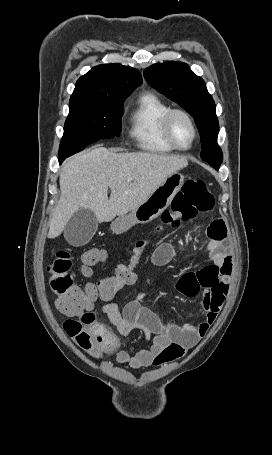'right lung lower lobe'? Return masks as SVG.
I'll return each instance as SVG.
<instances>
[{
    "label": "right lung lower lobe",
    "mask_w": 272,
    "mask_h": 455,
    "mask_svg": "<svg viewBox=\"0 0 272 455\" xmlns=\"http://www.w3.org/2000/svg\"><path fill=\"white\" fill-rule=\"evenodd\" d=\"M62 161H63L62 159H59V162H60V163H62Z\"/></svg>",
    "instance_id": "right-lung-lower-lobe-1"
}]
</instances>
